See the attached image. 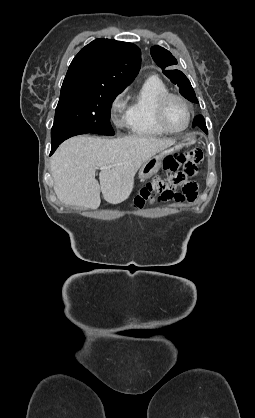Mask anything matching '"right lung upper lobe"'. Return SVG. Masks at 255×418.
<instances>
[{
  "mask_svg": "<svg viewBox=\"0 0 255 418\" xmlns=\"http://www.w3.org/2000/svg\"><path fill=\"white\" fill-rule=\"evenodd\" d=\"M141 51L132 44L112 39H96L72 60L63 85L124 89L136 77Z\"/></svg>",
  "mask_w": 255,
  "mask_h": 418,
  "instance_id": "cb5924a9",
  "label": "right lung upper lobe"
}]
</instances>
